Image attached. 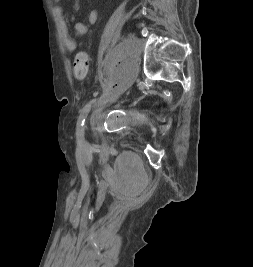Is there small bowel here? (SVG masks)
I'll use <instances>...</instances> for the list:
<instances>
[{
	"mask_svg": "<svg viewBox=\"0 0 253 267\" xmlns=\"http://www.w3.org/2000/svg\"><path fill=\"white\" fill-rule=\"evenodd\" d=\"M55 1H59V0H55ZM54 13H55L57 20H58V25H59V29H60V33H61V37H62V41H63L65 49L68 52H74L77 48V43L71 37V35L69 33V29H68L67 23L65 21L64 15H63L62 7L61 6H55L54 7ZM97 17H98L97 12L95 10H91L88 13L89 25L95 24L97 21ZM73 29L77 35L84 36L88 32L89 26L83 22H75L73 24Z\"/></svg>",
	"mask_w": 253,
	"mask_h": 267,
	"instance_id": "small-bowel-1",
	"label": "small bowel"
}]
</instances>
